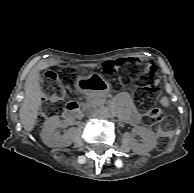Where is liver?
<instances>
[{
  "label": "liver",
  "instance_id": "liver-1",
  "mask_svg": "<svg viewBox=\"0 0 194 193\" xmlns=\"http://www.w3.org/2000/svg\"><path fill=\"white\" fill-rule=\"evenodd\" d=\"M58 62L54 60H43L34 66L28 74L25 83V97L19 110V117L23 128L27 132H31L36 124L38 117V110L42 104V97L44 93L40 84L41 70H44L50 66L57 65ZM82 67H96L97 64H81Z\"/></svg>",
  "mask_w": 194,
  "mask_h": 193
}]
</instances>
